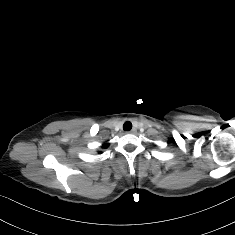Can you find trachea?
I'll return each instance as SVG.
<instances>
[{
  "label": "trachea",
  "mask_w": 235,
  "mask_h": 235,
  "mask_svg": "<svg viewBox=\"0 0 235 235\" xmlns=\"http://www.w3.org/2000/svg\"><path fill=\"white\" fill-rule=\"evenodd\" d=\"M123 129L125 131H130L132 129V123L129 122V121L125 122L124 125H123Z\"/></svg>",
  "instance_id": "3493384b"
}]
</instances>
